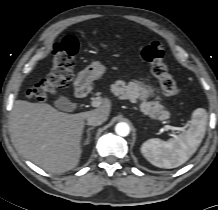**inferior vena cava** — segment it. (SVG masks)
Masks as SVG:
<instances>
[{"mask_svg": "<svg viewBox=\"0 0 218 210\" xmlns=\"http://www.w3.org/2000/svg\"><path fill=\"white\" fill-rule=\"evenodd\" d=\"M103 122H105V119L97 114V113H92L88 118H87V123L88 125L91 126H99L101 125Z\"/></svg>", "mask_w": 218, "mask_h": 210, "instance_id": "1", "label": "inferior vena cava"}]
</instances>
